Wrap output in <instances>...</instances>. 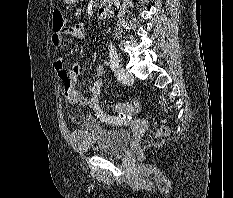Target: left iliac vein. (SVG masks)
Here are the masks:
<instances>
[{
    "instance_id": "obj_1",
    "label": "left iliac vein",
    "mask_w": 233,
    "mask_h": 198,
    "mask_svg": "<svg viewBox=\"0 0 233 198\" xmlns=\"http://www.w3.org/2000/svg\"><path fill=\"white\" fill-rule=\"evenodd\" d=\"M116 78L122 83H131L133 81V75L130 74L124 67H118L115 70Z\"/></svg>"
}]
</instances>
